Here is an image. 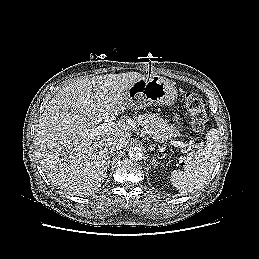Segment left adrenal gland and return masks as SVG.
<instances>
[{
  "label": "left adrenal gland",
  "instance_id": "obj_1",
  "mask_svg": "<svg viewBox=\"0 0 259 259\" xmlns=\"http://www.w3.org/2000/svg\"><path fill=\"white\" fill-rule=\"evenodd\" d=\"M152 165L156 166V160H155V157L153 156L152 158Z\"/></svg>",
  "mask_w": 259,
  "mask_h": 259
}]
</instances>
